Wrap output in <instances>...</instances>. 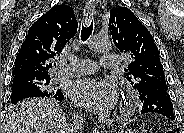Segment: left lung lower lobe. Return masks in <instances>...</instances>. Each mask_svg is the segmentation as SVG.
Here are the masks:
<instances>
[{
    "label": "left lung lower lobe",
    "mask_w": 184,
    "mask_h": 133,
    "mask_svg": "<svg viewBox=\"0 0 184 133\" xmlns=\"http://www.w3.org/2000/svg\"><path fill=\"white\" fill-rule=\"evenodd\" d=\"M161 95L162 99L156 100L155 97ZM141 113H158L175 120L173 113V104L170 100L168 91L163 89H156L148 93L143 101Z\"/></svg>",
    "instance_id": "0a47b994"
}]
</instances>
